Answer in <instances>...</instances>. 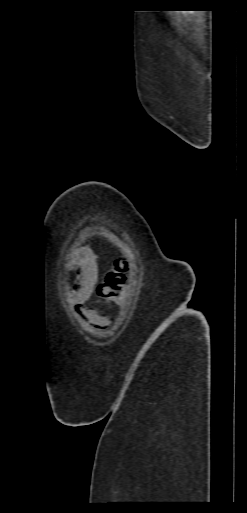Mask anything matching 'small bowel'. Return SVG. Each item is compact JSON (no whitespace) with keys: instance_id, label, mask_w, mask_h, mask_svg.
Instances as JSON below:
<instances>
[{"instance_id":"obj_1","label":"small bowel","mask_w":247,"mask_h":513,"mask_svg":"<svg viewBox=\"0 0 247 513\" xmlns=\"http://www.w3.org/2000/svg\"><path fill=\"white\" fill-rule=\"evenodd\" d=\"M66 262L73 270V282L69 288L65 289L67 298L89 323L102 329L107 327L108 318L97 315L85 305L91 298L97 281V266L94 259L84 254H71Z\"/></svg>"}]
</instances>
